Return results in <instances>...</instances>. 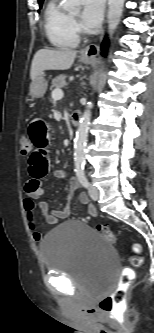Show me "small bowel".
<instances>
[{
  "instance_id": "obj_1",
  "label": "small bowel",
  "mask_w": 154,
  "mask_h": 333,
  "mask_svg": "<svg viewBox=\"0 0 154 333\" xmlns=\"http://www.w3.org/2000/svg\"><path fill=\"white\" fill-rule=\"evenodd\" d=\"M27 135L32 146V150L28 158V173L30 178L25 185L27 198L24 200V209L29 228L32 232V238L34 241L39 242L42 240V235L37 228V221L34 213V201L40 199L44 194L43 180L47 175L50 166L49 145L51 135L48 124L43 119L39 118L33 119L30 122ZM54 176L56 178H67L68 173L65 170L58 169L54 172ZM78 188V182L71 178L69 180L67 202L60 209H52L45 201H40L38 203V208L47 223L55 225L59 222V220L69 217L70 201L74 192ZM79 201L88 206L89 213L92 216L97 215L95 207L90 203L84 193L79 195Z\"/></svg>"
}]
</instances>
